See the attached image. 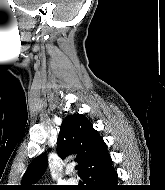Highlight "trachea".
<instances>
[{"label": "trachea", "instance_id": "obj_1", "mask_svg": "<svg viewBox=\"0 0 165 190\" xmlns=\"http://www.w3.org/2000/svg\"><path fill=\"white\" fill-rule=\"evenodd\" d=\"M75 169L78 170V166H76Z\"/></svg>", "mask_w": 165, "mask_h": 190}]
</instances>
